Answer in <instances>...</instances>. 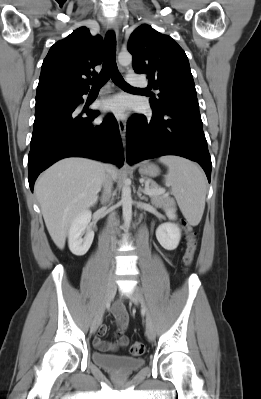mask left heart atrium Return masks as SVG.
<instances>
[{"instance_id": "1", "label": "left heart atrium", "mask_w": 261, "mask_h": 399, "mask_svg": "<svg viewBox=\"0 0 261 399\" xmlns=\"http://www.w3.org/2000/svg\"><path fill=\"white\" fill-rule=\"evenodd\" d=\"M104 111L112 112L117 116H123L128 108V100L123 95L115 96L101 104Z\"/></svg>"}]
</instances>
